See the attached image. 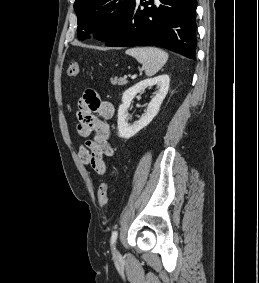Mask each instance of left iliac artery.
Listing matches in <instances>:
<instances>
[{
  "label": "left iliac artery",
  "instance_id": "left-iliac-artery-1",
  "mask_svg": "<svg viewBox=\"0 0 259 283\" xmlns=\"http://www.w3.org/2000/svg\"><path fill=\"white\" fill-rule=\"evenodd\" d=\"M117 236H118V232H117V231H114V232L112 233V236H111V246H113L114 243L116 242Z\"/></svg>",
  "mask_w": 259,
  "mask_h": 283
}]
</instances>
